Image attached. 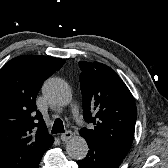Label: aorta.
Masks as SVG:
<instances>
[{
  "label": "aorta",
  "mask_w": 168,
  "mask_h": 168,
  "mask_svg": "<svg viewBox=\"0 0 168 168\" xmlns=\"http://www.w3.org/2000/svg\"><path fill=\"white\" fill-rule=\"evenodd\" d=\"M42 94L51 105L55 106H66L72 100L71 88L59 78L47 79L42 86ZM66 151L73 159H84L88 153L87 142L81 136H74L67 142Z\"/></svg>",
  "instance_id": "aorta-1"
}]
</instances>
